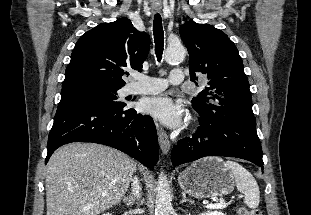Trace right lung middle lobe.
I'll return each instance as SVG.
<instances>
[{"instance_id": "1", "label": "right lung middle lobe", "mask_w": 311, "mask_h": 215, "mask_svg": "<svg viewBox=\"0 0 311 215\" xmlns=\"http://www.w3.org/2000/svg\"><path fill=\"white\" fill-rule=\"evenodd\" d=\"M120 88L94 83H75L62 86L59 107L67 105H87L102 109L124 108L126 104L118 100Z\"/></svg>"}]
</instances>
